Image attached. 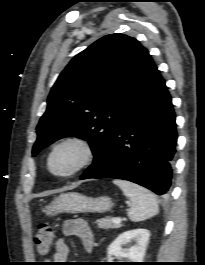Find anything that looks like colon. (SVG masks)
<instances>
[{"label": "colon", "mask_w": 205, "mask_h": 265, "mask_svg": "<svg viewBox=\"0 0 205 265\" xmlns=\"http://www.w3.org/2000/svg\"><path fill=\"white\" fill-rule=\"evenodd\" d=\"M35 244L40 254H48L55 245V235L52 228L42 225L35 236Z\"/></svg>", "instance_id": "1"}]
</instances>
